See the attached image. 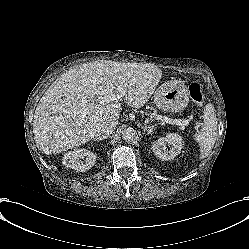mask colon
<instances>
[{
	"instance_id": "5ec220e1",
	"label": "colon",
	"mask_w": 249,
	"mask_h": 249,
	"mask_svg": "<svg viewBox=\"0 0 249 249\" xmlns=\"http://www.w3.org/2000/svg\"><path fill=\"white\" fill-rule=\"evenodd\" d=\"M189 95L194 103L196 104H202L204 97L202 88L198 83H191L189 85Z\"/></svg>"
}]
</instances>
